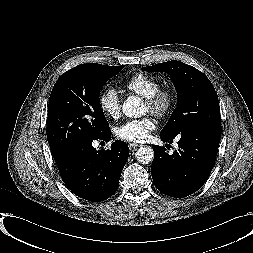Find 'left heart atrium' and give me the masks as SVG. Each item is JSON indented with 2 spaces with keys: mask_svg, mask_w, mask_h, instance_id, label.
Here are the masks:
<instances>
[{
  "mask_svg": "<svg viewBox=\"0 0 253 253\" xmlns=\"http://www.w3.org/2000/svg\"><path fill=\"white\" fill-rule=\"evenodd\" d=\"M155 127V120L150 116H145L141 119L127 120L116 129V135L125 141L144 142Z\"/></svg>",
  "mask_w": 253,
  "mask_h": 253,
  "instance_id": "obj_1",
  "label": "left heart atrium"
}]
</instances>
